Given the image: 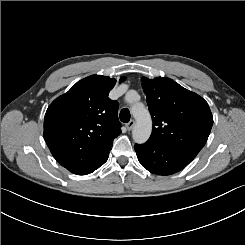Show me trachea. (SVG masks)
Here are the masks:
<instances>
[{"mask_svg": "<svg viewBox=\"0 0 245 245\" xmlns=\"http://www.w3.org/2000/svg\"><path fill=\"white\" fill-rule=\"evenodd\" d=\"M120 120L123 122V123H128L129 120H130V112L127 108H124L121 110L120 112Z\"/></svg>", "mask_w": 245, "mask_h": 245, "instance_id": "1", "label": "trachea"}]
</instances>
